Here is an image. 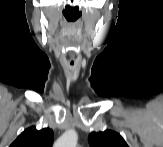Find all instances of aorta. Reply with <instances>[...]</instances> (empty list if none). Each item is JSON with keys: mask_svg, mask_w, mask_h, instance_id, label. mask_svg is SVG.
Segmentation results:
<instances>
[{"mask_svg": "<svg viewBox=\"0 0 163 147\" xmlns=\"http://www.w3.org/2000/svg\"><path fill=\"white\" fill-rule=\"evenodd\" d=\"M78 136L74 130L66 131L54 144L55 147H76Z\"/></svg>", "mask_w": 163, "mask_h": 147, "instance_id": "aorta-1", "label": "aorta"}]
</instances>
